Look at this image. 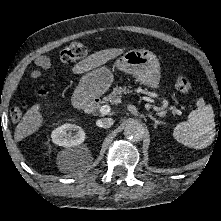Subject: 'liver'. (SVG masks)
<instances>
[{
  "label": "liver",
  "instance_id": "6515ba94",
  "mask_svg": "<svg viewBox=\"0 0 221 221\" xmlns=\"http://www.w3.org/2000/svg\"><path fill=\"white\" fill-rule=\"evenodd\" d=\"M124 52L120 48H112L95 52L77 63L72 71L74 74H82L98 66L107 63L109 60L116 58ZM43 124V117L40 113V104L33 105L22 117L14 133L15 142H19L27 136L38 131Z\"/></svg>",
  "mask_w": 221,
  "mask_h": 221
}]
</instances>
